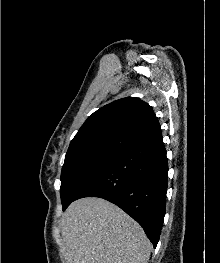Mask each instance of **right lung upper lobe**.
<instances>
[{
    "instance_id": "1",
    "label": "right lung upper lobe",
    "mask_w": 220,
    "mask_h": 263,
    "mask_svg": "<svg viewBox=\"0 0 220 263\" xmlns=\"http://www.w3.org/2000/svg\"><path fill=\"white\" fill-rule=\"evenodd\" d=\"M160 133L152 107L136 97L122 98L90 115L67 152L94 148L123 150Z\"/></svg>"
}]
</instances>
